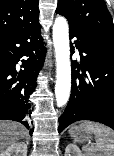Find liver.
Instances as JSON below:
<instances>
[{
	"mask_svg": "<svg viewBox=\"0 0 114 156\" xmlns=\"http://www.w3.org/2000/svg\"><path fill=\"white\" fill-rule=\"evenodd\" d=\"M26 129L14 121H0V153L24 137Z\"/></svg>",
	"mask_w": 114,
	"mask_h": 156,
	"instance_id": "1",
	"label": "liver"
}]
</instances>
